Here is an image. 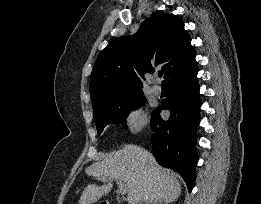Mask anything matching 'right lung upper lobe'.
Instances as JSON below:
<instances>
[{"label": "right lung upper lobe", "mask_w": 261, "mask_h": 204, "mask_svg": "<svg viewBox=\"0 0 261 204\" xmlns=\"http://www.w3.org/2000/svg\"><path fill=\"white\" fill-rule=\"evenodd\" d=\"M195 60V50L182 20L153 13L134 35L119 37L97 57L90 79L92 106L141 90L145 73L162 66L168 80Z\"/></svg>", "instance_id": "1"}]
</instances>
